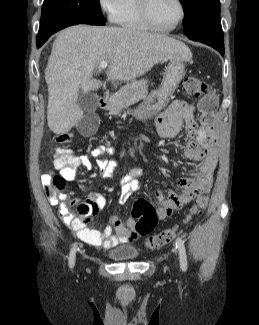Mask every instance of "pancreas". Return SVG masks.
<instances>
[{
	"instance_id": "obj_1",
	"label": "pancreas",
	"mask_w": 259,
	"mask_h": 325,
	"mask_svg": "<svg viewBox=\"0 0 259 325\" xmlns=\"http://www.w3.org/2000/svg\"><path fill=\"white\" fill-rule=\"evenodd\" d=\"M148 93V80L133 81L120 88L109 98L111 114H116L123 107H128L141 99L146 98Z\"/></svg>"
}]
</instances>
